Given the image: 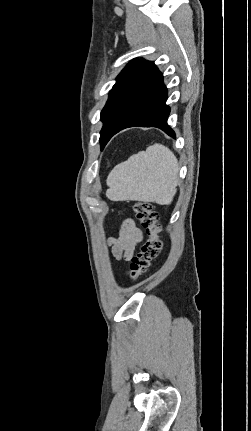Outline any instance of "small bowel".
<instances>
[{"mask_svg":"<svg viewBox=\"0 0 251 431\" xmlns=\"http://www.w3.org/2000/svg\"><path fill=\"white\" fill-rule=\"evenodd\" d=\"M142 238V231L136 226L134 220L126 219L121 225L118 237L109 240L113 257L116 260L129 261Z\"/></svg>","mask_w":251,"mask_h":431,"instance_id":"1","label":"small bowel"}]
</instances>
